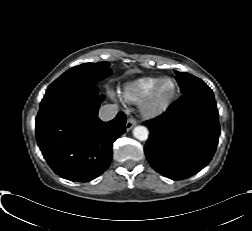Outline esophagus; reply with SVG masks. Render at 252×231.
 I'll return each mask as SVG.
<instances>
[{"label":"esophagus","mask_w":252,"mask_h":231,"mask_svg":"<svg viewBox=\"0 0 252 231\" xmlns=\"http://www.w3.org/2000/svg\"><path fill=\"white\" fill-rule=\"evenodd\" d=\"M136 124H137V121L135 118L133 117L128 118L125 125L126 131L131 130Z\"/></svg>","instance_id":"esophagus-1"}]
</instances>
